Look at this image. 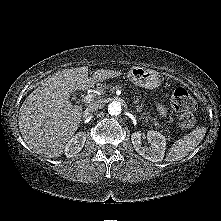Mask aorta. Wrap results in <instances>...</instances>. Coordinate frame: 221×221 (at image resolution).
<instances>
[{
  "instance_id": "1",
  "label": "aorta",
  "mask_w": 221,
  "mask_h": 221,
  "mask_svg": "<svg viewBox=\"0 0 221 221\" xmlns=\"http://www.w3.org/2000/svg\"><path fill=\"white\" fill-rule=\"evenodd\" d=\"M122 106L118 101H113L108 105V112L110 115H119L121 113Z\"/></svg>"
}]
</instances>
